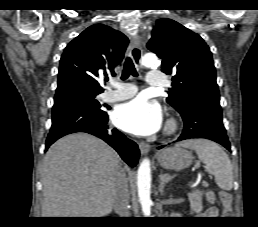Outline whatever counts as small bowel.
Here are the masks:
<instances>
[{
    "label": "small bowel",
    "mask_w": 258,
    "mask_h": 227,
    "mask_svg": "<svg viewBox=\"0 0 258 227\" xmlns=\"http://www.w3.org/2000/svg\"><path fill=\"white\" fill-rule=\"evenodd\" d=\"M206 199L207 201L212 205L210 206L203 214L204 216L208 218H214L218 216V209L214 206L215 203V195L213 192L208 191L206 193Z\"/></svg>",
    "instance_id": "c3829d8e"
}]
</instances>
